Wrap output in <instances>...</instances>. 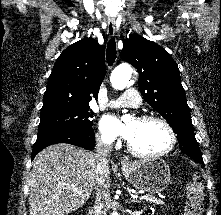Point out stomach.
Wrapping results in <instances>:
<instances>
[{
	"label": "stomach",
	"instance_id": "0dacf381",
	"mask_svg": "<svg viewBox=\"0 0 221 215\" xmlns=\"http://www.w3.org/2000/svg\"><path fill=\"white\" fill-rule=\"evenodd\" d=\"M122 171L134 188L150 194L163 191L170 183V168L159 158L123 163Z\"/></svg>",
	"mask_w": 221,
	"mask_h": 215
}]
</instances>
